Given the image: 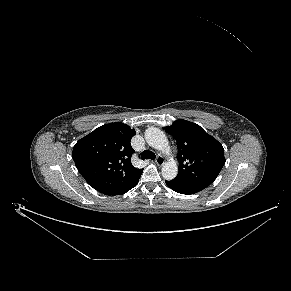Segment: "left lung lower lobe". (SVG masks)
Wrapping results in <instances>:
<instances>
[{
  "label": "left lung lower lobe",
  "instance_id": "left-lung-lower-lobe-1",
  "mask_svg": "<svg viewBox=\"0 0 291 291\" xmlns=\"http://www.w3.org/2000/svg\"><path fill=\"white\" fill-rule=\"evenodd\" d=\"M165 182L167 186L170 187L175 192L186 195L197 193L205 189L212 183L210 181L186 182L178 180L176 178Z\"/></svg>",
  "mask_w": 291,
  "mask_h": 291
}]
</instances>
